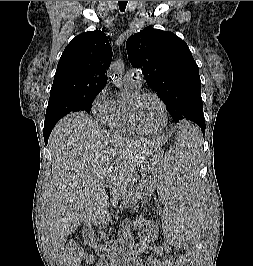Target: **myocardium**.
<instances>
[{
    "label": "myocardium",
    "mask_w": 253,
    "mask_h": 266,
    "mask_svg": "<svg viewBox=\"0 0 253 266\" xmlns=\"http://www.w3.org/2000/svg\"><path fill=\"white\" fill-rule=\"evenodd\" d=\"M154 97L155 99L158 100V102L160 103L163 113H164V123L163 126L158 129V130H148L146 128H144L139 120L138 117V106L139 103L141 102V100L145 97ZM129 113H130V118L132 121L133 126L141 133V134H145V135H157L160 134L162 132H164L168 126L169 123V113H168V108L167 105L165 103V101L162 99V97L157 94L156 92L153 91H140L137 94H135L130 102H129Z\"/></svg>",
    "instance_id": "1"
}]
</instances>
